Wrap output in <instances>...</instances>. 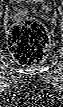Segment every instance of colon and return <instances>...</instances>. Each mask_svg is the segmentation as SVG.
<instances>
[{"mask_svg":"<svg viewBox=\"0 0 63 107\" xmlns=\"http://www.w3.org/2000/svg\"><path fill=\"white\" fill-rule=\"evenodd\" d=\"M49 45L48 32L37 21L26 20L17 24L9 36L10 50L22 64L41 62L48 53Z\"/></svg>","mask_w":63,"mask_h":107,"instance_id":"5ec220e1","label":"colon"}]
</instances>
